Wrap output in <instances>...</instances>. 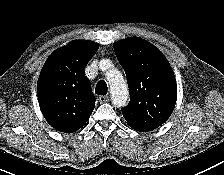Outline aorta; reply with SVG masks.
<instances>
[{
  "mask_svg": "<svg viewBox=\"0 0 224 175\" xmlns=\"http://www.w3.org/2000/svg\"><path fill=\"white\" fill-rule=\"evenodd\" d=\"M100 66L106 70V78L110 86L111 99L115 106H125L129 97L127 83L119 70L112 68L108 60H102Z\"/></svg>",
  "mask_w": 224,
  "mask_h": 175,
  "instance_id": "1",
  "label": "aorta"
}]
</instances>
